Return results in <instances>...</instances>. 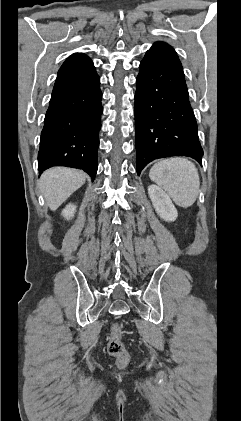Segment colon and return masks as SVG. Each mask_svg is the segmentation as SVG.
I'll use <instances>...</instances> for the list:
<instances>
[{
	"mask_svg": "<svg viewBox=\"0 0 241 421\" xmlns=\"http://www.w3.org/2000/svg\"><path fill=\"white\" fill-rule=\"evenodd\" d=\"M107 351L110 356L116 358L119 365L123 366L128 362L129 356L122 342V328L119 323H115L111 327Z\"/></svg>",
	"mask_w": 241,
	"mask_h": 421,
	"instance_id": "5ec220e1",
	"label": "colon"
}]
</instances>
